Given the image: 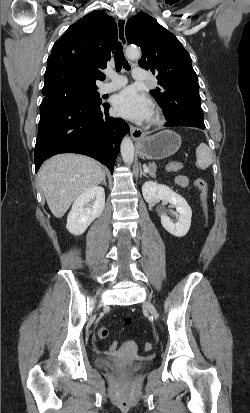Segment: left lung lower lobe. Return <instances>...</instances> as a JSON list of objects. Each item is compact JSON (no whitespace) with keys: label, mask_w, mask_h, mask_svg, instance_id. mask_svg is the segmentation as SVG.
Masks as SVG:
<instances>
[{"label":"left lung lower lobe","mask_w":250,"mask_h":413,"mask_svg":"<svg viewBox=\"0 0 250 413\" xmlns=\"http://www.w3.org/2000/svg\"><path fill=\"white\" fill-rule=\"evenodd\" d=\"M162 107L167 120L165 124L167 127L187 126L200 129L205 128L199 92L188 95H175L173 102H167Z\"/></svg>","instance_id":"1"}]
</instances>
